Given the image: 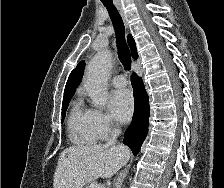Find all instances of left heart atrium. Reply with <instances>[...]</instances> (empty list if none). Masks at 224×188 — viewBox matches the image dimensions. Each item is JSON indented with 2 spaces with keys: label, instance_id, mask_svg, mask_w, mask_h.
I'll use <instances>...</instances> for the list:
<instances>
[{
  "label": "left heart atrium",
  "instance_id": "left-heart-atrium-1",
  "mask_svg": "<svg viewBox=\"0 0 224 188\" xmlns=\"http://www.w3.org/2000/svg\"><path fill=\"white\" fill-rule=\"evenodd\" d=\"M113 116L120 122L126 123L131 119L134 102L131 93L126 89L116 90L111 93L109 100Z\"/></svg>",
  "mask_w": 224,
  "mask_h": 188
}]
</instances>
